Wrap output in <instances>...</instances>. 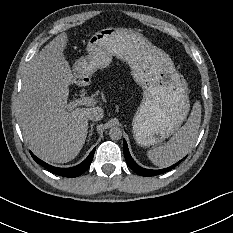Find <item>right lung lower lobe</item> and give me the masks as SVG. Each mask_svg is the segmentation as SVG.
Wrapping results in <instances>:
<instances>
[{"instance_id":"obj_1","label":"right lung lower lobe","mask_w":233,"mask_h":233,"mask_svg":"<svg viewBox=\"0 0 233 233\" xmlns=\"http://www.w3.org/2000/svg\"><path fill=\"white\" fill-rule=\"evenodd\" d=\"M94 152H95V148L90 152L89 156L81 164H79L75 167H71V168H58V167L51 166V165L43 162L39 158H37L32 152H30V153H31L33 159L38 164H40L41 166L46 168L47 170H49L57 175L64 176V177H77V176L81 175L83 172H85L90 167V164H91L93 156H94Z\"/></svg>"}]
</instances>
